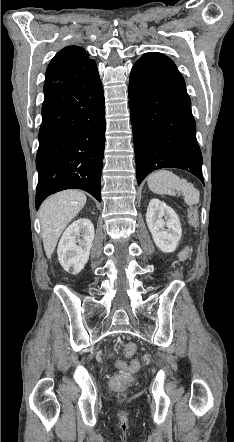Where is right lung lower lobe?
<instances>
[{
  "instance_id": "1",
  "label": "right lung lower lobe",
  "mask_w": 234,
  "mask_h": 442,
  "mask_svg": "<svg viewBox=\"0 0 234 442\" xmlns=\"http://www.w3.org/2000/svg\"><path fill=\"white\" fill-rule=\"evenodd\" d=\"M105 103L96 64L66 82L44 85L36 157V209L55 192L82 189L101 201Z\"/></svg>"
}]
</instances>
